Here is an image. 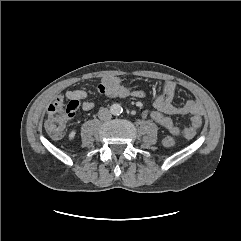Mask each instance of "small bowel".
<instances>
[{
  "instance_id": "small-bowel-1",
  "label": "small bowel",
  "mask_w": 241,
  "mask_h": 241,
  "mask_svg": "<svg viewBox=\"0 0 241 241\" xmlns=\"http://www.w3.org/2000/svg\"><path fill=\"white\" fill-rule=\"evenodd\" d=\"M100 85L103 86L102 92L111 98H125L132 96L135 98H143L145 92L143 90L131 89L124 85L119 77L110 76L105 78ZM175 85L171 82H165L161 85L160 91L153 98V108L168 115H193L200 117L203 114L202 105L196 100H188L182 106L173 104L175 96ZM66 97L70 100H83L87 98V92L84 90H70L66 92ZM95 104L92 101H85L82 104L83 111H90L94 108ZM145 117L149 115V111L143 114Z\"/></svg>"
}]
</instances>
